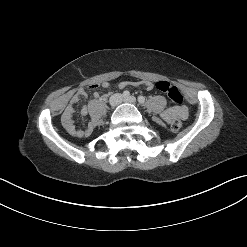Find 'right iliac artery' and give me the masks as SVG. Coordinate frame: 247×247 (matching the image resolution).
I'll return each instance as SVG.
<instances>
[{
    "mask_svg": "<svg viewBox=\"0 0 247 247\" xmlns=\"http://www.w3.org/2000/svg\"><path fill=\"white\" fill-rule=\"evenodd\" d=\"M122 95H123L124 98H127V97L130 96V92L126 90V91L123 92Z\"/></svg>",
    "mask_w": 247,
    "mask_h": 247,
    "instance_id": "obj_1",
    "label": "right iliac artery"
}]
</instances>
